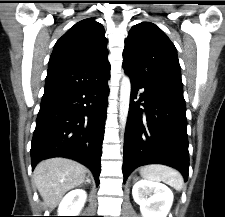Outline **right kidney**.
I'll return each mask as SVG.
<instances>
[{
  "label": "right kidney",
  "mask_w": 225,
  "mask_h": 217,
  "mask_svg": "<svg viewBox=\"0 0 225 217\" xmlns=\"http://www.w3.org/2000/svg\"><path fill=\"white\" fill-rule=\"evenodd\" d=\"M87 194L83 189L70 191L58 207V216H78L86 202Z\"/></svg>",
  "instance_id": "right-kidney-1"
}]
</instances>
